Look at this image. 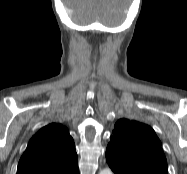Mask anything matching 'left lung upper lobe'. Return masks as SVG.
Wrapping results in <instances>:
<instances>
[{
  "label": "left lung upper lobe",
  "instance_id": "5c2ea615",
  "mask_svg": "<svg viewBox=\"0 0 187 174\" xmlns=\"http://www.w3.org/2000/svg\"><path fill=\"white\" fill-rule=\"evenodd\" d=\"M105 156L114 174H168L159 138L136 121H117Z\"/></svg>",
  "mask_w": 187,
  "mask_h": 174
}]
</instances>
